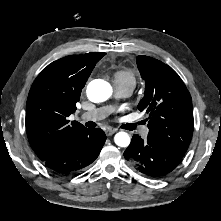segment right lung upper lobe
Segmentation results:
<instances>
[{"label":"right lung upper lobe","instance_id":"cb5924a9","mask_svg":"<svg viewBox=\"0 0 221 221\" xmlns=\"http://www.w3.org/2000/svg\"><path fill=\"white\" fill-rule=\"evenodd\" d=\"M104 55L66 56L49 64L35 79L27 99L25 125L30 145L42 162L87 129L77 121L69 122L68 117L76 111L82 88Z\"/></svg>","mask_w":221,"mask_h":221}]
</instances>
